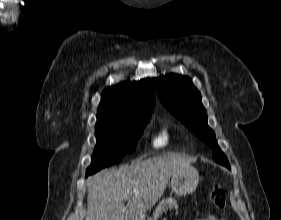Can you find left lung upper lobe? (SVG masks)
<instances>
[{
	"label": "left lung upper lobe",
	"mask_w": 281,
	"mask_h": 220,
	"mask_svg": "<svg viewBox=\"0 0 281 220\" xmlns=\"http://www.w3.org/2000/svg\"><path fill=\"white\" fill-rule=\"evenodd\" d=\"M152 81L162 104L213 149V158L216 162L230 169L228 159L215 139V133L207 125L201 95L191 79L168 74L153 78Z\"/></svg>",
	"instance_id": "1"
}]
</instances>
